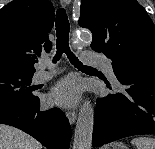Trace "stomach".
Listing matches in <instances>:
<instances>
[{
	"label": "stomach",
	"instance_id": "obj_1",
	"mask_svg": "<svg viewBox=\"0 0 155 149\" xmlns=\"http://www.w3.org/2000/svg\"><path fill=\"white\" fill-rule=\"evenodd\" d=\"M109 149H128L125 144L122 142H115L111 145Z\"/></svg>",
	"mask_w": 155,
	"mask_h": 149
}]
</instances>
